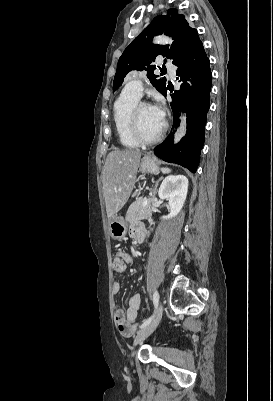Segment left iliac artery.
I'll return each instance as SVG.
<instances>
[{"label": "left iliac artery", "instance_id": "obj_1", "mask_svg": "<svg viewBox=\"0 0 273 401\" xmlns=\"http://www.w3.org/2000/svg\"><path fill=\"white\" fill-rule=\"evenodd\" d=\"M158 303H159V294H158L157 291H155L154 294H153V304H154V307H155V312H156V310H157V308H158ZM153 317H154V315H152L150 318H148L147 320H145V321L143 322V324L140 326V328L142 329V328H144L145 326H147V325L151 322V320L153 319Z\"/></svg>", "mask_w": 273, "mask_h": 401}]
</instances>
